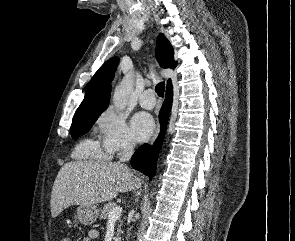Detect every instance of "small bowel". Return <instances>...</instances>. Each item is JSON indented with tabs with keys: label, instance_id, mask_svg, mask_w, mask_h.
Masks as SVG:
<instances>
[{
	"label": "small bowel",
	"instance_id": "1",
	"mask_svg": "<svg viewBox=\"0 0 295 241\" xmlns=\"http://www.w3.org/2000/svg\"><path fill=\"white\" fill-rule=\"evenodd\" d=\"M99 236L98 231L90 230L87 235L82 239V241H94ZM62 241H70L69 239H63Z\"/></svg>",
	"mask_w": 295,
	"mask_h": 241
}]
</instances>
